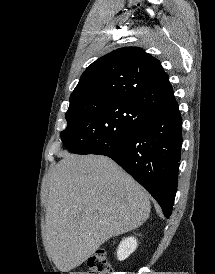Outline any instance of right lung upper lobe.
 Listing matches in <instances>:
<instances>
[{"label": "right lung upper lobe", "mask_w": 215, "mask_h": 274, "mask_svg": "<svg viewBox=\"0 0 215 274\" xmlns=\"http://www.w3.org/2000/svg\"><path fill=\"white\" fill-rule=\"evenodd\" d=\"M120 100L150 113L177 106L160 62L138 47H123L99 58L82 74L70 103Z\"/></svg>", "instance_id": "right-lung-upper-lobe-1"}]
</instances>
